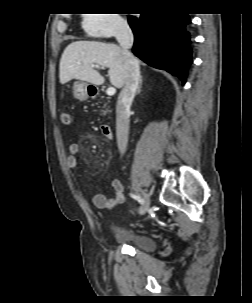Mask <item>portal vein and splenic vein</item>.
<instances>
[{
	"label": "portal vein and splenic vein",
	"mask_w": 252,
	"mask_h": 303,
	"mask_svg": "<svg viewBox=\"0 0 252 303\" xmlns=\"http://www.w3.org/2000/svg\"><path fill=\"white\" fill-rule=\"evenodd\" d=\"M93 67H96L97 69H99L100 68V66L99 65H97V64H93ZM107 95H109V96H113L115 93H116V89L114 88V87H110V88H108L107 89Z\"/></svg>",
	"instance_id": "portal-vein-and-splenic-vein-1"
}]
</instances>
